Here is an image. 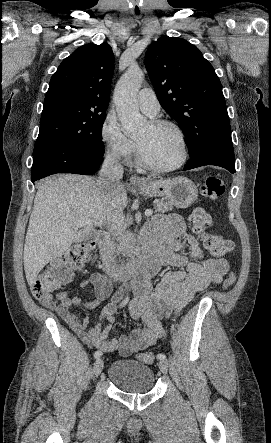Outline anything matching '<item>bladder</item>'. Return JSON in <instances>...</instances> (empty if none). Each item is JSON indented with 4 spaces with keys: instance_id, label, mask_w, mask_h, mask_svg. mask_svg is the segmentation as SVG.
<instances>
[{
    "instance_id": "obj_1",
    "label": "bladder",
    "mask_w": 271,
    "mask_h": 443,
    "mask_svg": "<svg viewBox=\"0 0 271 443\" xmlns=\"http://www.w3.org/2000/svg\"><path fill=\"white\" fill-rule=\"evenodd\" d=\"M108 378L118 389L131 394L147 393L155 383L151 367L133 359L114 361L108 369Z\"/></svg>"
}]
</instances>
